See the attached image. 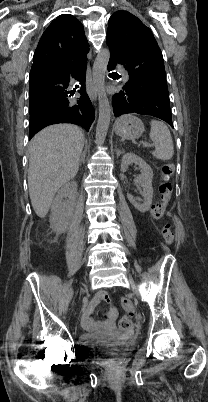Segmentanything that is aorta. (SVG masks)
<instances>
[{
  "instance_id": "1",
  "label": "aorta",
  "mask_w": 208,
  "mask_h": 402,
  "mask_svg": "<svg viewBox=\"0 0 208 402\" xmlns=\"http://www.w3.org/2000/svg\"><path fill=\"white\" fill-rule=\"evenodd\" d=\"M109 60L110 52L107 48H103V50H100L99 54H97L92 68L93 84L96 88L99 102V118L95 138L96 144H100V146L107 136L111 118V106L105 90V74Z\"/></svg>"
}]
</instances>
